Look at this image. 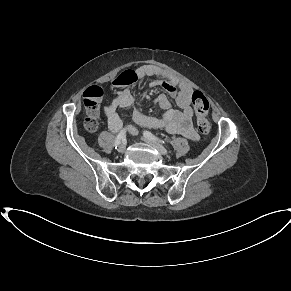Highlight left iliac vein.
<instances>
[{
  "label": "left iliac vein",
  "mask_w": 291,
  "mask_h": 291,
  "mask_svg": "<svg viewBox=\"0 0 291 291\" xmlns=\"http://www.w3.org/2000/svg\"><path fill=\"white\" fill-rule=\"evenodd\" d=\"M142 140H144L145 142L151 144L160 154L162 155H167L168 151L165 147H163L161 144H159L156 141H153L151 139H148L147 137H142Z\"/></svg>",
  "instance_id": "1"
}]
</instances>
